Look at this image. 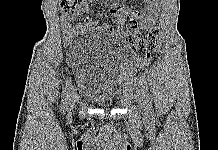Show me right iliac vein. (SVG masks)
<instances>
[{"label": "right iliac vein", "instance_id": "right-iliac-vein-1", "mask_svg": "<svg viewBox=\"0 0 218 150\" xmlns=\"http://www.w3.org/2000/svg\"><path fill=\"white\" fill-rule=\"evenodd\" d=\"M75 95H76V92H75V89L73 88L72 89V92H71V97L69 99V102L67 104V111L70 113L74 107V102H75Z\"/></svg>", "mask_w": 218, "mask_h": 150}]
</instances>
